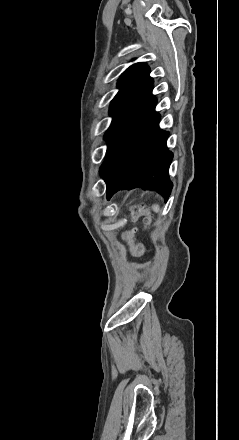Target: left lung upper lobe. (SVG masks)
Wrapping results in <instances>:
<instances>
[{
  "label": "left lung upper lobe",
  "mask_w": 239,
  "mask_h": 440,
  "mask_svg": "<svg viewBox=\"0 0 239 440\" xmlns=\"http://www.w3.org/2000/svg\"><path fill=\"white\" fill-rule=\"evenodd\" d=\"M149 73L150 68L143 62L133 64L122 73L117 84L120 90L110 105V114L113 116L110 128L122 119L152 86L153 79Z\"/></svg>",
  "instance_id": "5c2ea615"
}]
</instances>
